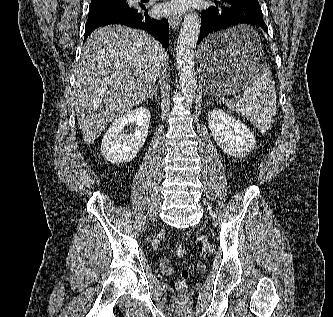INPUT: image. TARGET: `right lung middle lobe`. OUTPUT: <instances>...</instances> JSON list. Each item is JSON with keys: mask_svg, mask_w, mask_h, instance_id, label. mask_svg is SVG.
Masks as SVG:
<instances>
[{"mask_svg": "<svg viewBox=\"0 0 333 317\" xmlns=\"http://www.w3.org/2000/svg\"><path fill=\"white\" fill-rule=\"evenodd\" d=\"M127 0H92L89 11L102 8H128Z\"/></svg>", "mask_w": 333, "mask_h": 317, "instance_id": "right-lung-middle-lobe-1", "label": "right lung middle lobe"}]
</instances>
